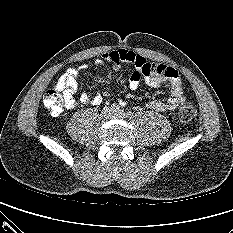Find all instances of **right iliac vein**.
<instances>
[{
    "label": "right iliac vein",
    "instance_id": "63e3f726",
    "mask_svg": "<svg viewBox=\"0 0 233 233\" xmlns=\"http://www.w3.org/2000/svg\"><path fill=\"white\" fill-rule=\"evenodd\" d=\"M111 109L109 108H104L103 111H102V117L107 119L109 117H111Z\"/></svg>",
    "mask_w": 233,
    "mask_h": 233
}]
</instances>
